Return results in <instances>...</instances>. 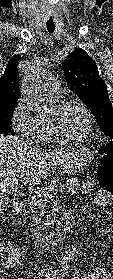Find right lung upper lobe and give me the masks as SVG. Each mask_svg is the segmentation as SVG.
I'll use <instances>...</instances> for the list:
<instances>
[{
  "label": "right lung upper lobe",
  "mask_w": 113,
  "mask_h": 279,
  "mask_svg": "<svg viewBox=\"0 0 113 279\" xmlns=\"http://www.w3.org/2000/svg\"><path fill=\"white\" fill-rule=\"evenodd\" d=\"M20 58V55L11 58L3 76L0 78V110L15 107L19 98L17 63Z\"/></svg>",
  "instance_id": "right-lung-upper-lobe-1"
}]
</instances>
